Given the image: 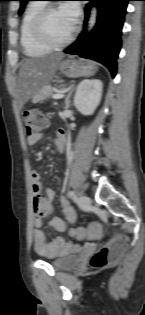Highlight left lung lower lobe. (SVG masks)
I'll return each instance as SVG.
<instances>
[{
	"label": "left lung lower lobe",
	"instance_id": "1",
	"mask_svg": "<svg viewBox=\"0 0 145 315\" xmlns=\"http://www.w3.org/2000/svg\"><path fill=\"white\" fill-rule=\"evenodd\" d=\"M97 3V22L89 35L85 31L64 52L76 54L83 58L96 60L105 65L112 76L116 75L117 57L121 48V34L126 14L127 2L130 0H88ZM90 7H85L86 21ZM85 21V22H86ZM86 25V23H85Z\"/></svg>",
	"mask_w": 145,
	"mask_h": 315
}]
</instances>
